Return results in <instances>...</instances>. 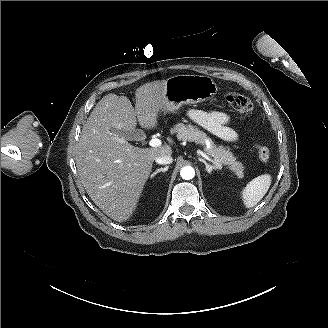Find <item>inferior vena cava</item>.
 Segmentation results:
<instances>
[{
    "instance_id": "obj_1",
    "label": "inferior vena cava",
    "mask_w": 328,
    "mask_h": 328,
    "mask_svg": "<svg viewBox=\"0 0 328 328\" xmlns=\"http://www.w3.org/2000/svg\"><path fill=\"white\" fill-rule=\"evenodd\" d=\"M158 164H171L173 159L170 155H161L155 159Z\"/></svg>"
}]
</instances>
